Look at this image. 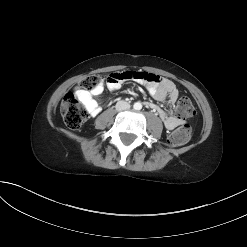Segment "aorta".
Returning <instances> with one entry per match:
<instances>
[{
	"instance_id": "1",
	"label": "aorta",
	"mask_w": 247,
	"mask_h": 247,
	"mask_svg": "<svg viewBox=\"0 0 247 247\" xmlns=\"http://www.w3.org/2000/svg\"><path fill=\"white\" fill-rule=\"evenodd\" d=\"M134 107L135 109L139 110L142 108V105L140 103H135Z\"/></svg>"
}]
</instances>
